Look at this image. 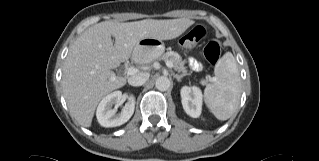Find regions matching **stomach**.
<instances>
[{"label":"stomach","mask_w":319,"mask_h":161,"mask_svg":"<svg viewBox=\"0 0 319 161\" xmlns=\"http://www.w3.org/2000/svg\"><path fill=\"white\" fill-rule=\"evenodd\" d=\"M164 43L155 38L141 39L134 48L133 59L138 63L147 64L158 59L164 52Z\"/></svg>","instance_id":"1"}]
</instances>
